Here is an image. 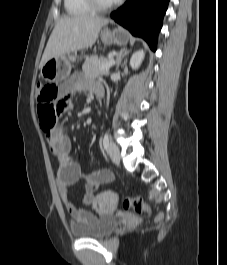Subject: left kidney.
<instances>
[{"label":"left kidney","instance_id":"1","mask_svg":"<svg viewBox=\"0 0 227 265\" xmlns=\"http://www.w3.org/2000/svg\"><path fill=\"white\" fill-rule=\"evenodd\" d=\"M143 59H144L143 50H139V51L135 52L130 59V66L132 67V69H134V70L138 69L139 66L141 65Z\"/></svg>","mask_w":227,"mask_h":265}]
</instances>
